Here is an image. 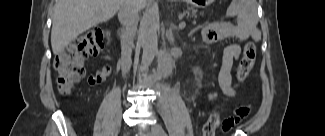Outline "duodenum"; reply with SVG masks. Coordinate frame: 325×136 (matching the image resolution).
Wrapping results in <instances>:
<instances>
[{
    "label": "duodenum",
    "instance_id": "1",
    "mask_svg": "<svg viewBox=\"0 0 325 136\" xmlns=\"http://www.w3.org/2000/svg\"><path fill=\"white\" fill-rule=\"evenodd\" d=\"M118 32H119V41H120V45L121 46H124L125 45V39H124V37H125V29L124 28H122V27H120L119 28V30H118Z\"/></svg>",
    "mask_w": 325,
    "mask_h": 136
}]
</instances>
